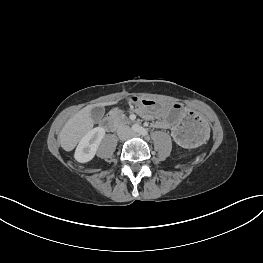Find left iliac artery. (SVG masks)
<instances>
[{
	"label": "left iliac artery",
	"instance_id": "left-iliac-artery-1",
	"mask_svg": "<svg viewBox=\"0 0 263 263\" xmlns=\"http://www.w3.org/2000/svg\"><path fill=\"white\" fill-rule=\"evenodd\" d=\"M140 134L143 135V136H147L148 135V131L145 128L141 127Z\"/></svg>",
	"mask_w": 263,
	"mask_h": 263
}]
</instances>
